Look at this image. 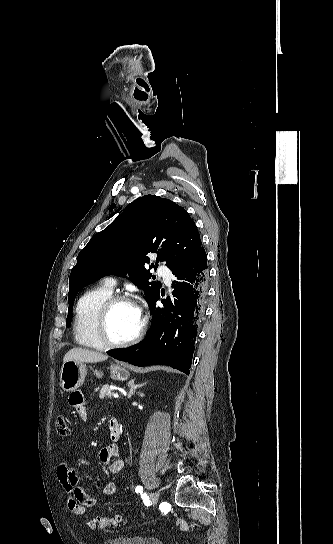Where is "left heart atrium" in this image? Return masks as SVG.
<instances>
[{
    "instance_id": "1",
    "label": "left heart atrium",
    "mask_w": 333,
    "mask_h": 544,
    "mask_svg": "<svg viewBox=\"0 0 333 544\" xmlns=\"http://www.w3.org/2000/svg\"><path fill=\"white\" fill-rule=\"evenodd\" d=\"M136 311H137L139 317H141V311H140V309L138 307H136Z\"/></svg>"
}]
</instances>
